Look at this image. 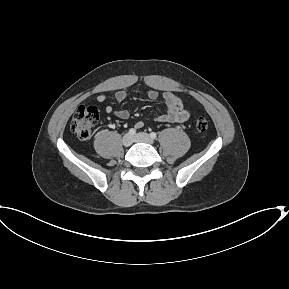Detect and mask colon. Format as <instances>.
I'll use <instances>...</instances> for the list:
<instances>
[{
	"label": "colon",
	"mask_w": 289,
	"mask_h": 289,
	"mask_svg": "<svg viewBox=\"0 0 289 289\" xmlns=\"http://www.w3.org/2000/svg\"><path fill=\"white\" fill-rule=\"evenodd\" d=\"M99 118L98 109L93 105H82L75 112L71 123V131L81 140L90 137L93 127ZM195 127L197 131L203 133L208 129V121L205 118H198Z\"/></svg>",
	"instance_id": "5ec220e1"
}]
</instances>
